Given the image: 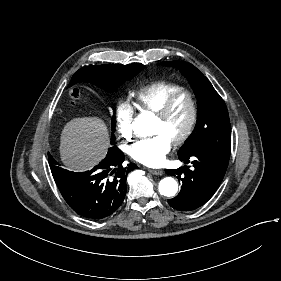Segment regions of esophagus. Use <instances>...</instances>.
<instances>
[{
    "label": "esophagus",
    "instance_id": "esophagus-1",
    "mask_svg": "<svg viewBox=\"0 0 281 281\" xmlns=\"http://www.w3.org/2000/svg\"><path fill=\"white\" fill-rule=\"evenodd\" d=\"M148 171L151 174H154V175H162L164 173L163 170H161V169H151V168H148Z\"/></svg>",
    "mask_w": 281,
    "mask_h": 281
}]
</instances>
